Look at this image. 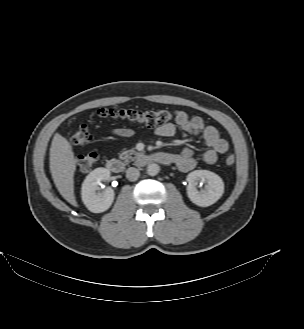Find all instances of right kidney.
<instances>
[{"instance_id":"obj_1","label":"right kidney","mask_w":304,"mask_h":329,"mask_svg":"<svg viewBox=\"0 0 304 329\" xmlns=\"http://www.w3.org/2000/svg\"><path fill=\"white\" fill-rule=\"evenodd\" d=\"M110 178V171L106 168H96L88 174L82 183L81 197L84 205L93 213H101L109 209L113 203L115 193L111 188L97 191L101 181Z\"/></svg>"}]
</instances>
